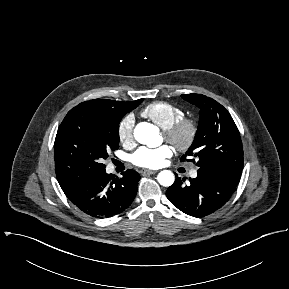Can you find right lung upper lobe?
Masks as SVG:
<instances>
[{"mask_svg":"<svg viewBox=\"0 0 289 289\" xmlns=\"http://www.w3.org/2000/svg\"><path fill=\"white\" fill-rule=\"evenodd\" d=\"M140 100V99H139ZM139 100L130 101V102H121V101H113V100H106V99H94L88 102H83L79 105H77L74 108H83V109H89V110H95V111H101V112H115L120 111L127 108H133L137 105ZM60 184V183H59ZM62 190L65 192L69 191L70 189L74 187H65L60 184Z\"/></svg>","mask_w":289,"mask_h":289,"instance_id":"1","label":"right lung upper lobe"}]
</instances>
